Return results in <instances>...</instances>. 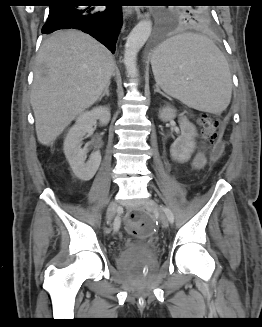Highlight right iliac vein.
<instances>
[{
	"mask_svg": "<svg viewBox=\"0 0 262 327\" xmlns=\"http://www.w3.org/2000/svg\"><path fill=\"white\" fill-rule=\"evenodd\" d=\"M117 210V204L115 201H111L108 205V208H107V214H106V218H107V221H111L115 215V212Z\"/></svg>",
	"mask_w": 262,
	"mask_h": 327,
	"instance_id": "obj_1",
	"label": "right iliac vein"
}]
</instances>
